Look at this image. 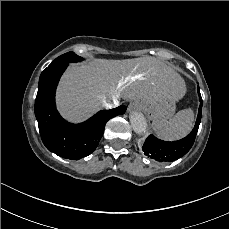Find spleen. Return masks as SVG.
Here are the masks:
<instances>
[{
  "mask_svg": "<svg viewBox=\"0 0 229 229\" xmlns=\"http://www.w3.org/2000/svg\"><path fill=\"white\" fill-rule=\"evenodd\" d=\"M193 113L190 109L179 110L169 121L155 119L153 128L165 139H175L184 136L192 127Z\"/></svg>",
  "mask_w": 229,
  "mask_h": 229,
  "instance_id": "spleen-1",
  "label": "spleen"
}]
</instances>
